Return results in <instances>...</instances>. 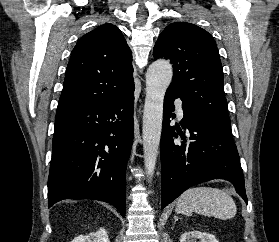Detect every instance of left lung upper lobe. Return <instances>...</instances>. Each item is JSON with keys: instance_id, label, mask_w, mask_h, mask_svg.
Instances as JSON below:
<instances>
[{"instance_id": "5c2ea615", "label": "left lung upper lobe", "mask_w": 279, "mask_h": 242, "mask_svg": "<svg viewBox=\"0 0 279 242\" xmlns=\"http://www.w3.org/2000/svg\"><path fill=\"white\" fill-rule=\"evenodd\" d=\"M153 56L171 60L174 75L168 90L180 97L185 111L231 132L220 55L207 31L172 23L160 34Z\"/></svg>"}]
</instances>
